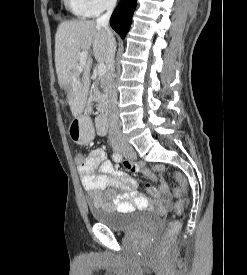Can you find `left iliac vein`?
Here are the masks:
<instances>
[{
  "instance_id": "4c4485c4",
  "label": "left iliac vein",
  "mask_w": 247,
  "mask_h": 275,
  "mask_svg": "<svg viewBox=\"0 0 247 275\" xmlns=\"http://www.w3.org/2000/svg\"><path fill=\"white\" fill-rule=\"evenodd\" d=\"M122 154L128 158V159H135L136 158V154H135V151L133 150L132 147L130 146H127L123 151H122Z\"/></svg>"
}]
</instances>
